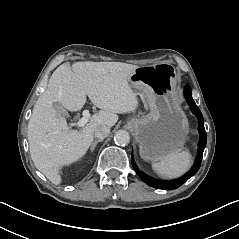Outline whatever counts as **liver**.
I'll return each mask as SVG.
<instances>
[{
	"label": "liver",
	"mask_w": 239,
	"mask_h": 239,
	"mask_svg": "<svg viewBox=\"0 0 239 239\" xmlns=\"http://www.w3.org/2000/svg\"><path fill=\"white\" fill-rule=\"evenodd\" d=\"M137 65L122 62H76L60 65L40 95L28 123V141L32 161L53 184L61 183L59 167L69 165L85 155L93 142L94 129L112 127L117 114L133 112L138 93L128 78ZM86 96L101 110L82 129L71 130L66 119L57 115L54 102L69 111L80 110Z\"/></svg>",
	"instance_id": "1"
}]
</instances>
